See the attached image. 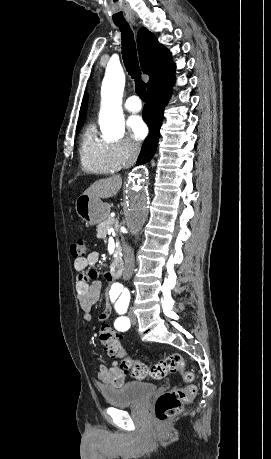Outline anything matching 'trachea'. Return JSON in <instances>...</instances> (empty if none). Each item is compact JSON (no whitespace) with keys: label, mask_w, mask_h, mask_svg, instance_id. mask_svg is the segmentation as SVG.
<instances>
[{"label":"trachea","mask_w":271,"mask_h":459,"mask_svg":"<svg viewBox=\"0 0 271 459\" xmlns=\"http://www.w3.org/2000/svg\"><path fill=\"white\" fill-rule=\"evenodd\" d=\"M117 27H119L121 31L124 66L131 78L135 79V91L137 95H139L143 102H147L146 84L141 79V70L137 58L134 34L128 24L117 25Z\"/></svg>","instance_id":"1"}]
</instances>
